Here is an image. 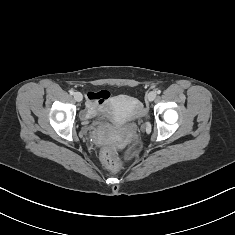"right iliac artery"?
Wrapping results in <instances>:
<instances>
[{
    "instance_id": "right-iliac-artery-1",
    "label": "right iliac artery",
    "mask_w": 235,
    "mask_h": 235,
    "mask_svg": "<svg viewBox=\"0 0 235 235\" xmlns=\"http://www.w3.org/2000/svg\"><path fill=\"white\" fill-rule=\"evenodd\" d=\"M69 93H70L71 95H73L75 92H74L73 89H71V90L69 91Z\"/></svg>"
}]
</instances>
